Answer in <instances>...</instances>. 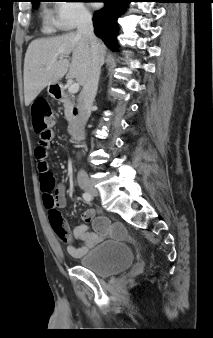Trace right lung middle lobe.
Listing matches in <instances>:
<instances>
[{
	"instance_id": "1",
	"label": "right lung middle lobe",
	"mask_w": 213,
	"mask_h": 338,
	"mask_svg": "<svg viewBox=\"0 0 213 338\" xmlns=\"http://www.w3.org/2000/svg\"><path fill=\"white\" fill-rule=\"evenodd\" d=\"M32 1V5L34 8H37L38 7V4L40 2V0H31Z\"/></svg>"
}]
</instances>
